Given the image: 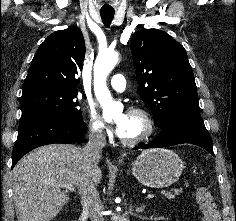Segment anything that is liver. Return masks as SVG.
Listing matches in <instances>:
<instances>
[{"label": "liver", "instance_id": "obj_1", "mask_svg": "<svg viewBox=\"0 0 236 221\" xmlns=\"http://www.w3.org/2000/svg\"><path fill=\"white\" fill-rule=\"evenodd\" d=\"M13 199L18 221H51L69 201L62 184L76 186L79 194L92 179L102 178L98 166L85 164L82 149L52 144L23 157L13 169Z\"/></svg>", "mask_w": 236, "mask_h": 221}]
</instances>
